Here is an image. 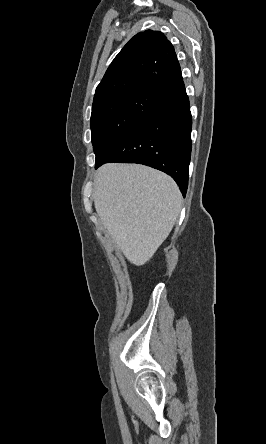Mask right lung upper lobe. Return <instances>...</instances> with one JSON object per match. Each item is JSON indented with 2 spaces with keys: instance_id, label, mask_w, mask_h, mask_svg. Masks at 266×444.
I'll list each match as a JSON object with an SVG mask.
<instances>
[{
  "instance_id": "obj_1",
  "label": "right lung upper lobe",
  "mask_w": 266,
  "mask_h": 444,
  "mask_svg": "<svg viewBox=\"0 0 266 444\" xmlns=\"http://www.w3.org/2000/svg\"><path fill=\"white\" fill-rule=\"evenodd\" d=\"M131 92L163 102L185 92L174 48L160 31L146 30L129 40L97 86L92 107Z\"/></svg>"
}]
</instances>
